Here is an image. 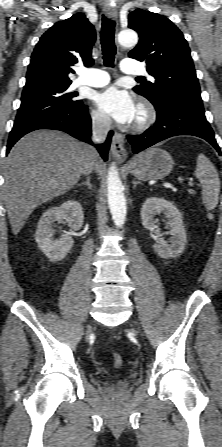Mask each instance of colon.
Segmentation results:
<instances>
[{
	"instance_id": "1",
	"label": "colon",
	"mask_w": 222,
	"mask_h": 447,
	"mask_svg": "<svg viewBox=\"0 0 222 447\" xmlns=\"http://www.w3.org/2000/svg\"><path fill=\"white\" fill-rule=\"evenodd\" d=\"M112 361H113V365L114 367H119L122 364V357L120 354L118 353H114L112 355Z\"/></svg>"
}]
</instances>
